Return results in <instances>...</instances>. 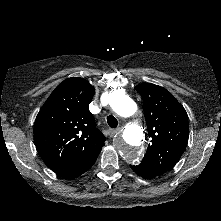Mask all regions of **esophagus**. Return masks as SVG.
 <instances>
[{"instance_id": "34e87169", "label": "esophagus", "mask_w": 221, "mask_h": 221, "mask_svg": "<svg viewBox=\"0 0 221 221\" xmlns=\"http://www.w3.org/2000/svg\"><path fill=\"white\" fill-rule=\"evenodd\" d=\"M122 129L121 128H117V129H110L108 131V134L110 137H113L114 135L118 134L119 132H121Z\"/></svg>"}]
</instances>
